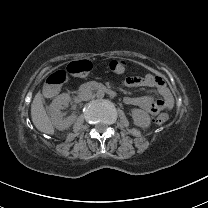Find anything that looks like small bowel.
Wrapping results in <instances>:
<instances>
[{
	"instance_id": "small-bowel-1",
	"label": "small bowel",
	"mask_w": 208,
	"mask_h": 208,
	"mask_svg": "<svg viewBox=\"0 0 208 208\" xmlns=\"http://www.w3.org/2000/svg\"><path fill=\"white\" fill-rule=\"evenodd\" d=\"M124 84L128 87L155 88L161 96V99L156 101L146 97H127L125 102L129 105L141 107L153 115L162 111H170L174 106L172 94L162 77L153 75L130 76L124 80Z\"/></svg>"
}]
</instances>
